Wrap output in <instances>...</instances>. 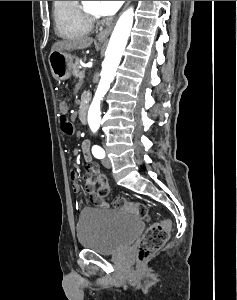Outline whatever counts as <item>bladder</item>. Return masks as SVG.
<instances>
[{
    "mask_svg": "<svg viewBox=\"0 0 237 300\" xmlns=\"http://www.w3.org/2000/svg\"><path fill=\"white\" fill-rule=\"evenodd\" d=\"M143 223L135 215L112 209H92L82 212L76 235L81 247L103 255L120 253L139 236Z\"/></svg>",
    "mask_w": 237,
    "mask_h": 300,
    "instance_id": "1",
    "label": "bladder"
}]
</instances>
